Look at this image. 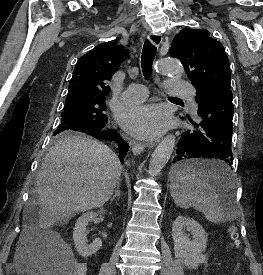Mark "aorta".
Here are the masks:
<instances>
[{"label":"aorta","instance_id":"aorta-1","mask_svg":"<svg viewBox=\"0 0 263 275\" xmlns=\"http://www.w3.org/2000/svg\"><path fill=\"white\" fill-rule=\"evenodd\" d=\"M155 70L159 73L181 77L184 68L177 59H164L157 62ZM175 136L167 135L164 137L151 156L149 163V174L157 175L167 164L175 147Z\"/></svg>","mask_w":263,"mask_h":275}]
</instances>
